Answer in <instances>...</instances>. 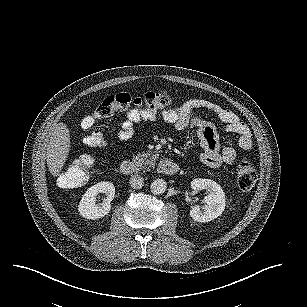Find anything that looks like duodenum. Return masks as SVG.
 <instances>
[{"label":"duodenum","instance_id":"410a0bca","mask_svg":"<svg viewBox=\"0 0 307 307\" xmlns=\"http://www.w3.org/2000/svg\"><path fill=\"white\" fill-rule=\"evenodd\" d=\"M157 170L163 175L171 176L178 172L179 166L172 160L164 159L159 162ZM120 171L124 175H132L134 173V163L130 160L122 161Z\"/></svg>","mask_w":307,"mask_h":307}]
</instances>
